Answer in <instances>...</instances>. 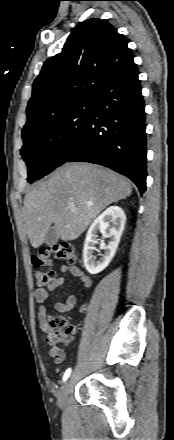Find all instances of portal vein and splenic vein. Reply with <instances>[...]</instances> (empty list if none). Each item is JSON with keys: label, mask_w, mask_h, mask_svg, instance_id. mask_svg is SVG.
<instances>
[{"label": "portal vein and splenic vein", "mask_w": 174, "mask_h": 440, "mask_svg": "<svg viewBox=\"0 0 174 440\" xmlns=\"http://www.w3.org/2000/svg\"><path fill=\"white\" fill-rule=\"evenodd\" d=\"M70 207H74V203H70Z\"/></svg>", "instance_id": "obj_1"}]
</instances>
